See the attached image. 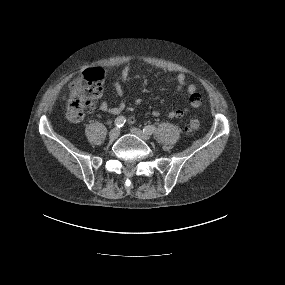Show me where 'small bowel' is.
<instances>
[{"mask_svg":"<svg viewBox=\"0 0 285 285\" xmlns=\"http://www.w3.org/2000/svg\"><path fill=\"white\" fill-rule=\"evenodd\" d=\"M130 72H131V66L130 65L125 66L121 70L119 79L114 83L115 90L119 95H122L123 93L122 86L128 81ZM175 81L177 83L178 91L184 89L187 91L189 96L188 104L165 112H162L160 110H154L152 113L153 116L159 117L163 115L169 119H179L188 114L191 108H197L200 105L201 103L200 92L198 91V88L196 87L195 84L192 83L189 84L187 82V77L184 73L176 74ZM100 109L106 113L117 115L125 109V103L122 102L118 105H110L106 101H103L100 104ZM130 122H134V118H130Z\"/></svg>","mask_w":285,"mask_h":285,"instance_id":"obj_1","label":"small bowel"}]
</instances>
